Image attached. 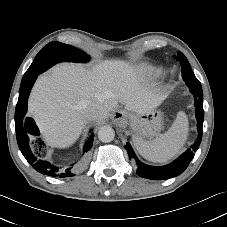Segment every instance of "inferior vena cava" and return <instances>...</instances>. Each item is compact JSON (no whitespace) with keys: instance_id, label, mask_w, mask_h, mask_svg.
I'll return each mask as SVG.
<instances>
[{"instance_id":"obj_1","label":"inferior vena cava","mask_w":227,"mask_h":227,"mask_svg":"<svg viewBox=\"0 0 227 227\" xmlns=\"http://www.w3.org/2000/svg\"><path fill=\"white\" fill-rule=\"evenodd\" d=\"M82 108L88 118H94L99 112V105L91 102L82 103Z\"/></svg>"}]
</instances>
